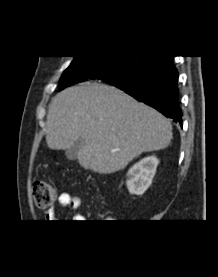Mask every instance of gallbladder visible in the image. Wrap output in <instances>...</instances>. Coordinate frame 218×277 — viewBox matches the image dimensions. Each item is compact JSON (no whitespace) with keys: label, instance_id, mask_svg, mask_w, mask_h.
Listing matches in <instances>:
<instances>
[{"label":"gallbladder","instance_id":"bac80fb5","mask_svg":"<svg viewBox=\"0 0 218 277\" xmlns=\"http://www.w3.org/2000/svg\"><path fill=\"white\" fill-rule=\"evenodd\" d=\"M84 145V140L82 138L77 139L74 144L66 150V157L69 160H76L79 150Z\"/></svg>","mask_w":218,"mask_h":277}]
</instances>
